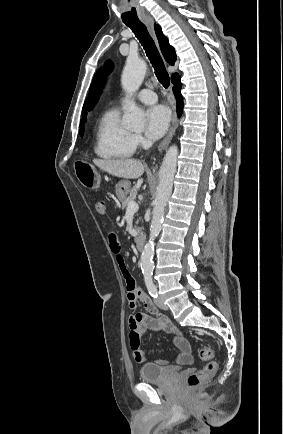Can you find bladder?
I'll use <instances>...</instances> for the list:
<instances>
[{
	"label": "bladder",
	"instance_id": "31cf9c89",
	"mask_svg": "<svg viewBox=\"0 0 283 434\" xmlns=\"http://www.w3.org/2000/svg\"><path fill=\"white\" fill-rule=\"evenodd\" d=\"M179 369L146 364L140 370V379L144 382H159L178 375Z\"/></svg>",
	"mask_w": 283,
	"mask_h": 434
}]
</instances>
